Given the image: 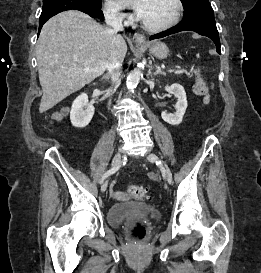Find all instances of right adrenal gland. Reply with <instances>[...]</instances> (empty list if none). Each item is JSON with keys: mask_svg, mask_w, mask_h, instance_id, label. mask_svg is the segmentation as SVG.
Segmentation results:
<instances>
[{"mask_svg": "<svg viewBox=\"0 0 261 273\" xmlns=\"http://www.w3.org/2000/svg\"><path fill=\"white\" fill-rule=\"evenodd\" d=\"M110 77H109V75L108 74H106V75H104L103 77H102V79H106V80H108Z\"/></svg>", "mask_w": 261, "mask_h": 273, "instance_id": "1", "label": "right adrenal gland"}]
</instances>
